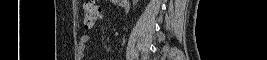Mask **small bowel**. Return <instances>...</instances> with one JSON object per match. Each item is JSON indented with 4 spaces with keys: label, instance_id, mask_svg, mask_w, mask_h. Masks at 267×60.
Wrapping results in <instances>:
<instances>
[{
    "label": "small bowel",
    "instance_id": "small-bowel-1",
    "mask_svg": "<svg viewBox=\"0 0 267 60\" xmlns=\"http://www.w3.org/2000/svg\"><path fill=\"white\" fill-rule=\"evenodd\" d=\"M88 40H89V36L88 35H83L82 37H81V44L82 45H85L87 42H88Z\"/></svg>",
    "mask_w": 267,
    "mask_h": 60
}]
</instances>
